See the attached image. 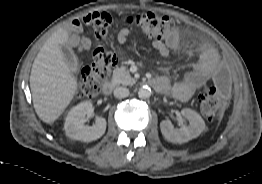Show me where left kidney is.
<instances>
[{
	"mask_svg": "<svg viewBox=\"0 0 262 184\" xmlns=\"http://www.w3.org/2000/svg\"><path fill=\"white\" fill-rule=\"evenodd\" d=\"M181 115L189 121V125H183L180 129H175L170 120L160 123L163 136L172 143H185L198 137L205 129L206 125L202 117L192 109L184 108Z\"/></svg>",
	"mask_w": 262,
	"mask_h": 184,
	"instance_id": "obj_1",
	"label": "left kidney"
}]
</instances>
